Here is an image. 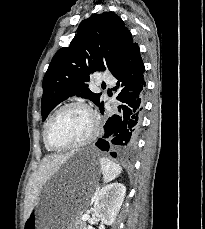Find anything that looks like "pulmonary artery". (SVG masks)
<instances>
[{
    "label": "pulmonary artery",
    "mask_w": 205,
    "mask_h": 229,
    "mask_svg": "<svg viewBox=\"0 0 205 229\" xmlns=\"http://www.w3.org/2000/svg\"><path fill=\"white\" fill-rule=\"evenodd\" d=\"M98 82H104L105 84L114 85L115 79L113 78V76L103 73L99 76Z\"/></svg>",
    "instance_id": "pulmonary-artery-1"
}]
</instances>
